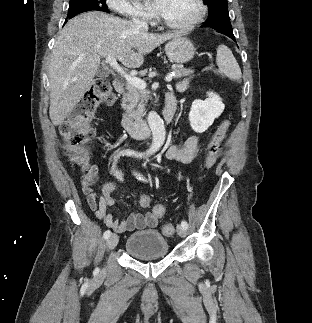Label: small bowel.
I'll return each instance as SVG.
<instances>
[{"mask_svg":"<svg viewBox=\"0 0 312 323\" xmlns=\"http://www.w3.org/2000/svg\"><path fill=\"white\" fill-rule=\"evenodd\" d=\"M188 81H183L176 86V91L181 93L187 89ZM197 151V137H189L182 147L169 145L166 147L165 158L180 163H190ZM82 176L80 185L82 193L86 196L89 207L95 212L96 217L102 220L105 225L118 232H133L145 228H156L159 220L163 216H155L154 211H148L145 214L132 213L125 220L115 219L107 209L115 204L114 194L116 185L107 183L102 187L101 194L94 192L93 184L98 176V167L90 160L84 162L81 166Z\"/></svg>","mask_w":312,"mask_h":323,"instance_id":"c3829d8e","label":"small bowel"}]
</instances>
